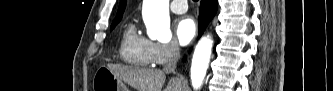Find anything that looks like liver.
<instances>
[{
    "instance_id": "liver-1",
    "label": "liver",
    "mask_w": 333,
    "mask_h": 91,
    "mask_svg": "<svg viewBox=\"0 0 333 91\" xmlns=\"http://www.w3.org/2000/svg\"><path fill=\"white\" fill-rule=\"evenodd\" d=\"M117 78L123 80L137 91H161L165 83L166 74L162 70L139 68L120 64L106 66ZM165 91H182V81L172 78Z\"/></svg>"
}]
</instances>
